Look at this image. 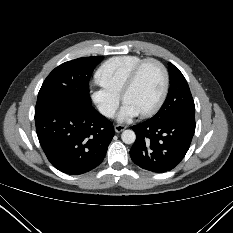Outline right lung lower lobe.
I'll return each mask as SVG.
<instances>
[{"label": "right lung lower lobe", "mask_w": 233, "mask_h": 233, "mask_svg": "<svg viewBox=\"0 0 233 233\" xmlns=\"http://www.w3.org/2000/svg\"><path fill=\"white\" fill-rule=\"evenodd\" d=\"M35 124L50 163L72 175L97 167L114 136L112 123L92 105H50L35 111Z\"/></svg>", "instance_id": "98d812e1"}]
</instances>
